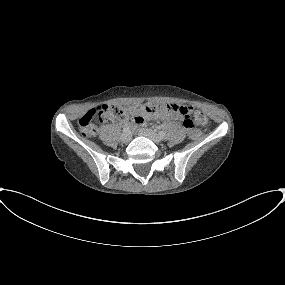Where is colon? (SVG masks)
<instances>
[{
	"label": "colon",
	"mask_w": 285,
	"mask_h": 285,
	"mask_svg": "<svg viewBox=\"0 0 285 285\" xmlns=\"http://www.w3.org/2000/svg\"><path fill=\"white\" fill-rule=\"evenodd\" d=\"M162 108V104H138L128 107L118 104H103L87 110L79 120L80 132L84 137H91L96 134L95 121L100 123L130 121L146 114H155ZM184 114V125L192 137L198 135L196 125H205L207 117L191 107L176 108Z\"/></svg>",
	"instance_id": "colon-1"
}]
</instances>
